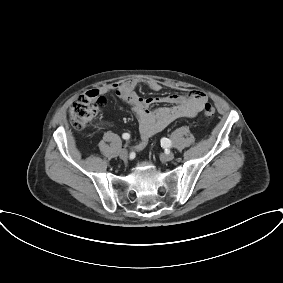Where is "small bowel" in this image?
Here are the masks:
<instances>
[{"mask_svg":"<svg viewBox=\"0 0 283 283\" xmlns=\"http://www.w3.org/2000/svg\"><path fill=\"white\" fill-rule=\"evenodd\" d=\"M137 86L138 81L128 80L122 83L107 84L93 90L100 95L114 93L131 107L140 124V141L133 147L134 151L142 150L151 136L163 130L173 121L196 116L208 101L207 95L199 90H191L185 95L171 94L164 97L142 98L136 92ZM146 86L155 92L162 89V85L156 80H148ZM162 103L172 106L152 109V106Z\"/></svg>","mask_w":283,"mask_h":283,"instance_id":"obj_1","label":"small bowel"}]
</instances>
